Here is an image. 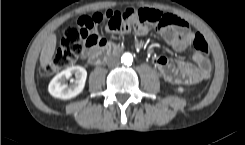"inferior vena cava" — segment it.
Here are the masks:
<instances>
[{
  "label": "inferior vena cava",
  "mask_w": 245,
  "mask_h": 145,
  "mask_svg": "<svg viewBox=\"0 0 245 145\" xmlns=\"http://www.w3.org/2000/svg\"><path fill=\"white\" fill-rule=\"evenodd\" d=\"M107 64L109 67H116L120 64V60L118 57H111Z\"/></svg>",
  "instance_id": "inferior-vena-cava-1"
}]
</instances>
